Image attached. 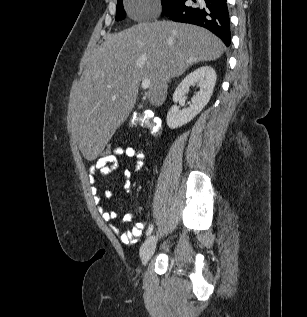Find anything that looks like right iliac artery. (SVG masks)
I'll use <instances>...</instances> for the list:
<instances>
[{
    "label": "right iliac artery",
    "mask_w": 307,
    "mask_h": 317,
    "mask_svg": "<svg viewBox=\"0 0 307 317\" xmlns=\"http://www.w3.org/2000/svg\"><path fill=\"white\" fill-rule=\"evenodd\" d=\"M153 228H154V226H153L152 224L149 225V227H148V229H147V231H146V236H147V237L152 233Z\"/></svg>",
    "instance_id": "obj_1"
}]
</instances>
